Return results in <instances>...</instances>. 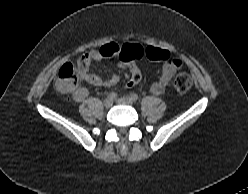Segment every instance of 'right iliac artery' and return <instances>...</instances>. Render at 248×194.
<instances>
[{
  "instance_id": "1",
  "label": "right iliac artery",
  "mask_w": 248,
  "mask_h": 194,
  "mask_svg": "<svg viewBox=\"0 0 248 194\" xmlns=\"http://www.w3.org/2000/svg\"><path fill=\"white\" fill-rule=\"evenodd\" d=\"M109 98H110L111 100H115V99L117 98V94L114 93V92H111V93L109 94Z\"/></svg>"
}]
</instances>
